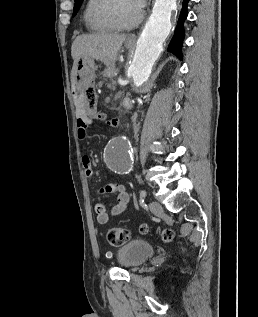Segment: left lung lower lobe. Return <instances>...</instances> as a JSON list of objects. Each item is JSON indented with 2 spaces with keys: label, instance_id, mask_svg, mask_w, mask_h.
Instances as JSON below:
<instances>
[{
  "label": "left lung lower lobe",
  "instance_id": "obj_1",
  "mask_svg": "<svg viewBox=\"0 0 258 317\" xmlns=\"http://www.w3.org/2000/svg\"><path fill=\"white\" fill-rule=\"evenodd\" d=\"M189 0H183L182 9L180 13V17L178 20V24L175 29L174 36L169 44L168 51L174 53L179 59L182 60V41L184 38V30H183V22L187 17V4Z\"/></svg>",
  "mask_w": 258,
  "mask_h": 317
}]
</instances>
